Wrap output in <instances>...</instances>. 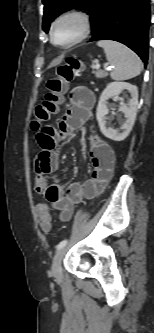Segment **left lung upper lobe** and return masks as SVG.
<instances>
[{"mask_svg": "<svg viewBox=\"0 0 154 333\" xmlns=\"http://www.w3.org/2000/svg\"><path fill=\"white\" fill-rule=\"evenodd\" d=\"M98 0H42L44 4L43 30L47 33L50 23L61 13L73 8L92 12Z\"/></svg>", "mask_w": 154, "mask_h": 333, "instance_id": "5c2ea615", "label": "left lung upper lobe"}]
</instances>
